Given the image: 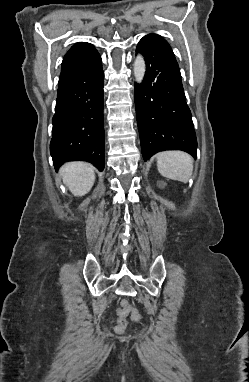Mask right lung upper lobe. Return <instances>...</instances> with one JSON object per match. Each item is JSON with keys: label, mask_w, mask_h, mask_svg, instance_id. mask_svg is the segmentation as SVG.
<instances>
[{"label": "right lung upper lobe", "mask_w": 249, "mask_h": 382, "mask_svg": "<svg viewBox=\"0 0 249 382\" xmlns=\"http://www.w3.org/2000/svg\"><path fill=\"white\" fill-rule=\"evenodd\" d=\"M97 54V50L89 43L74 44L63 58L59 84L91 63Z\"/></svg>", "instance_id": "cb5924a9"}]
</instances>
